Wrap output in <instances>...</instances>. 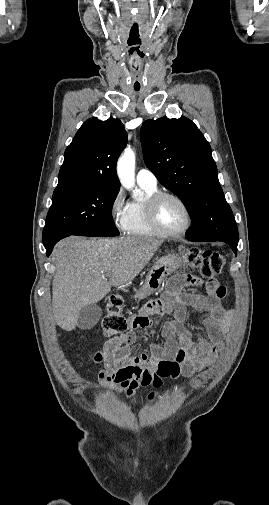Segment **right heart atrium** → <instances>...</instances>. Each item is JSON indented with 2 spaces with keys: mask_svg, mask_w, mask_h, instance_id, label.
I'll return each mask as SVG.
<instances>
[{
  "mask_svg": "<svg viewBox=\"0 0 269 505\" xmlns=\"http://www.w3.org/2000/svg\"><path fill=\"white\" fill-rule=\"evenodd\" d=\"M128 203L124 192L118 189L113 195L109 204V214L113 225L118 230H125L127 223Z\"/></svg>",
  "mask_w": 269,
  "mask_h": 505,
  "instance_id": "right-heart-atrium-1",
  "label": "right heart atrium"
}]
</instances>
